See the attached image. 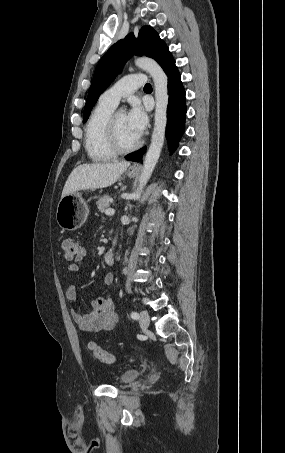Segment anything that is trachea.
Wrapping results in <instances>:
<instances>
[{
	"label": "trachea",
	"instance_id": "1",
	"mask_svg": "<svg viewBox=\"0 0 285 453\" xmlns=\"http://www.w3.org/2000/svg\"><path fill=\"white\" fill-rule=\"evenodd\" d=\"M144 88H151V85L149 83H147Z\"/></svg>",
	"mask_w": 285,
	"mask_h": 453
}]
</instances>
